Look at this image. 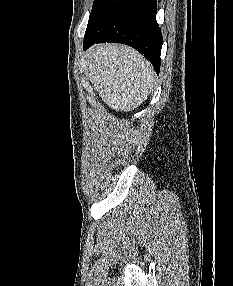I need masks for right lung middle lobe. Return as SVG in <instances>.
<instances>
[{"mask_svg": "<svg viewBox=\"0 0 233 286\" xmlns=\"http://www.w3.org/2000/svg\"><path fill=\"white\" fill-rule=\"evenodd\" d=\"M102 2V0H94L91 13L97 8V6Z\"/></svg>", "mask_w": 233, "mask_h": 286, "instance_id": "right-lung-middle-lobe-1", "label": "right lung middle lobe"}]
</instances>
